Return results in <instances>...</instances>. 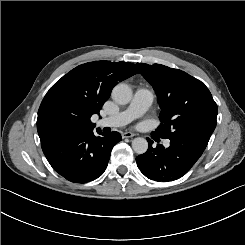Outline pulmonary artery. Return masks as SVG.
Listing matches in <instances>:
<instances>
[{"label":"pulmonary artery","mask_w":245,"mask_h":245,"mask_svg":"<svg viewBox=\"0 0 245 245\" xmlns=\"http://www.w3.org/2000/svg\"><path fill=\"white\" fill-rule=\"evenodd\" d=\"M152 103L153 94L151 91L144 87H139L134 92L129 105L124 110L112 116L102 118L97 122V127H119L126 125L135 118L143 116L149 110ZM160 143L162 145H168L169 138L162 136Z\"/></svg>","instance_id":"obj_1"}]
</instances>
